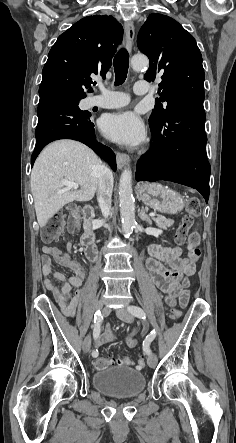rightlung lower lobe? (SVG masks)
Instances as JSON below:
<instances>
[{
	"instance_id": "1",
	"label": "right lung lower lobe",
	"mask_w": 236,
	"mask_h": 443,
	"mask_svg": "<svg viewBox=\"0 0 236 443\" xmlns=\"http://www.w3.org/2000/svg\"><path fill=\"white\" fill-rule=\"evenodd\" d=\"M37 115L36 146L31 156V165L48 143L58 139H73L89 146L116 171L115 154L109 147L96 140L94 124L90 120L91 114L81 111L76 101L62 94L42 95Z\"/></svg>"
}]
</instances>
